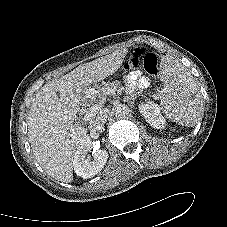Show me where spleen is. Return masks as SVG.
Returning <instances> with one entry per match:
<instances>
[{"instance_id":"spleen-1","label":"spleen","mask_w":227,"mask_h":227,"mask_svg":"<svg viewBox=\"0 0 227 227\" xmlns=\"http://www.w3.org/2000/svg\"><path fill=\"white\" fill-rule=\"evenodd\" d=\"M163 90L159 93L163 113L181 125L194 126L203 111L199 88L188 69L178 60L164 56L160 63Z\"/></svg>"}]
</instances>
